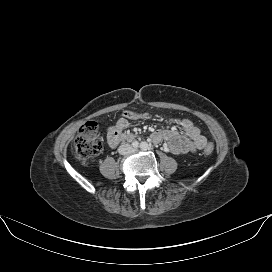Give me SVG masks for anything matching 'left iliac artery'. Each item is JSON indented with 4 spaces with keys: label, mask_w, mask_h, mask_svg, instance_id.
<instances>
[{
    "label": "left iliac artery",
    "mask_w": 272,
    "mask_h": 272,
    "mask_svg": "<svg viewBox=\"0 0 272 272\" xmlns=\"http://www.w3.org/2000/svg\"><path fill=\"white\" fill-rule=\"evenodd\" d=\"M140 148L142 150H147V149H149V144L147 142H141L140 143Z\"/></svg>",
    "instance_id": "left-iliac-artery-1"
}]
</instances>
